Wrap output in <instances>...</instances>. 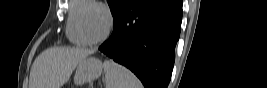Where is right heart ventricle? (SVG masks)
Returning a JSON list of instances; mask_svg holds the SVG:
<instances>
[{"label":"right heart ventricle","instance_id":"right-heart-ventricle-1","mask_svg":"<svg viewBox=\"0 0 267 88\" xmlns=\"http://www.w3.org/2000/svg\"><path fill=\"white\" fill-rule=\"evenodd\" d=\"M94 1L72 0L69 1V11L66 24V35L71 43L77 46H85L86 42L80 36L78 30V17L81 12L89 7Z\"/></svg>","mask_w":267,"mask_h":88}]
</instances>
